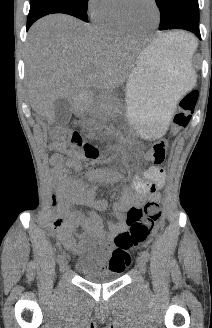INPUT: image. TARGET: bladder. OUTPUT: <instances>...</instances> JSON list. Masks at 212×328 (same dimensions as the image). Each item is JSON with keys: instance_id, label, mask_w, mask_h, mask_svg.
<instances>
[{"instance_id": "obj_1", "label": "bladder", "mask_w": 212, "mask_h": 328, "mask_svg": "<svg viewBox=\"0 0 212 328\" xmlns=\"http://www.w3.org/2000/svg\"><path fill=\"white\" fill-rule=\"evenodd\" d=\"M76 270L83 279L96 284L114 282L123 274L122 271L103 269L92 259L79 261L76 264Z\"/></svg>"}]
</instances>
